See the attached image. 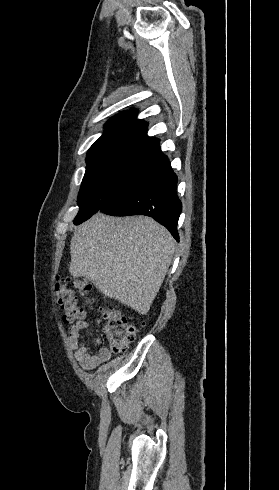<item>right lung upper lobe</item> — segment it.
Returning <instances> with one entry per match:
<instances>
[{
    "label": "right lung upper lobe",
    "instance_id": "cb5924a9",
    "mask_svg": "<svg viewBox=\"0 0 279 490\" xmlns=\"http://www.w3.org/2000/svg\"><path fill=\"white\" fill-rule=\"evenodd\" d=\"M147 123L137 119V110L124 111L105 124V132L90 147L88 165L109 161H132L158 164L165 156L159 139L146 135Z\"/></svg>",
    "mask_w": 279,
    "mask_h": 490
}]
</instances>
